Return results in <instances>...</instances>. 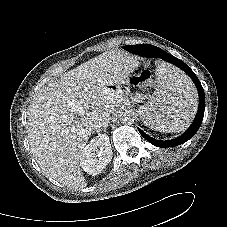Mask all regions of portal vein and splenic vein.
Segmentation results:
<instances>
[{"instance_id":"1","label":"portal vein and splenic vein","mask_w":227,"mask_h":227,"mask_svg":"<svg viewBox=\"0 0 227 227\" xmlns=\"http://www.w3.org/2000/svg\"><path fill=\"white\" fill-rule=\"evenodd\" d=\"M73 107H74V111L79 112V113H84V110L82 108H80L79 106L74 104Z\"/></svg>"}]
</instances>
